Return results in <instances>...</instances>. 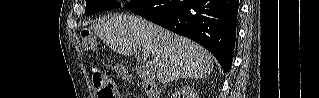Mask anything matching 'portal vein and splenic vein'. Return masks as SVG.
Segmentation results:
<instances>
[{"instance_id": "1", "label": "portal vein and splenic vein", "mask_w": 319, "mask_h": 98, "mask_svg": "<svg viewBox=\"0 0 319 98\" xmlns=\"http://www.w3.org/2000/svg\"><path fill=\"white\" fill-rule=\"evenodd\" d=\"M142 55L144 56V58H149L150 53L146 50H142Z\"/></svg>"}]
</instances>
